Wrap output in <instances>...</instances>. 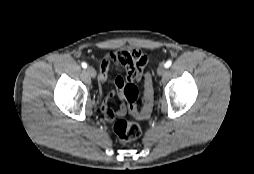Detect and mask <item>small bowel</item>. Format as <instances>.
I'll return each instance as SVG.
<instances>
[{"label":"small bowel","mask_w":254,"mask_h":174,"mask_svg":"<svg viewBox=\"0 0 254 174\" xmlns=\"http://www.w3.org/2000/svg\"><path fill=\"white\" fill-rule=\"evenodd\" d=\"M147 63V56L138 49L126 51H112L102 58L99 71V79L105 82L108 78V71L111 66H121L126 69V80L133 81L140 78L142 71ZM125 79L117 76L114 79L113 87L108 92L106 98L101 103V111L106 119L111 120L116 112L108 107V103L115 96H122V87Z\"/></svg>","instance_id":"small-bowel-1"}]
</instances>
